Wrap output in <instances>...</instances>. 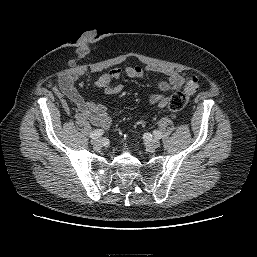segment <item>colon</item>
Listing matches in <instances>:
<instances>
[{"mask_svg":"<svg viewBox=\"0 0 257 257\" xmlns=\"http://www.w3.org/2000/svg\"><path fill=\"white\" fill-rule=\"evenodd\" d=\"M189 100L187 92H177L169 98L168 109L170 111H179L183 109Z\"/></svg>","mask_w":257,"mask_h":257,"instance_id":"1","label":"colon"}]
</instances>
